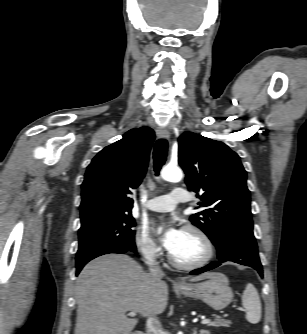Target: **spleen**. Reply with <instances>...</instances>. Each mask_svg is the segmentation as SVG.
<instances>
[{
	"label": "spleen",
	"mask_w": 307,
	"mask_h": 334,
	"mask_svg": "<svg viewBox=\"0 0 307 334\" xmlns=\"http://www.w3.org/2000/svg\"><path fill=\"white\" fill-rule=\"evenodd\" d=\"M242 305L246 309V319L252 324L261 319V301L257 289L248 283L242 295Z\"/></svg>",
	"instance_id": "spleen-1"
}]
</instances>
